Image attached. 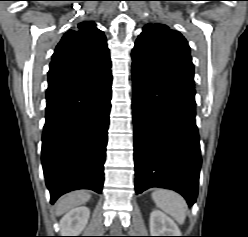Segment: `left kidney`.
I'll list each match as a JSON object with an SVG mask.
<instances>
[{
	"label": "left kidney",
	"instance_id": "5707ae66",
	"mask_svg": "<svg viewBox=\"0 0 248 237\" xmlns=\"http://www.w3.org/2000/svg\"><path fill=\"white\" fill-rule=\"evenodd\" d=\"M151 236H181L175 222L159 210H153L150 215Z\"/></svg>",
	"mask_w": 248,
	"mask_h": 237
}]
</instances>
